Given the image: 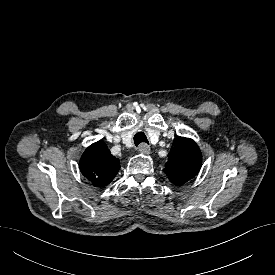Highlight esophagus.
<instances>
[{
	"label": "esophagus",
	"mask_w": 275,
	"mask_h": 275,
	"mask_svg": "<svg viewBox=\"0 0 275 275\" xmlns=\"http://www.w3.org/2000/svg\"><path fill=\"white\" fill-rule=\"evenodd\" d=\"M138 149L142 154L148 155L150 153V146L146 143H141Z\"/></svg>",
	"instance_id": "34e87169"
}]
</instances>
